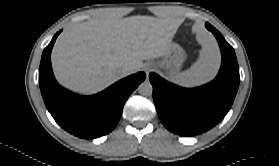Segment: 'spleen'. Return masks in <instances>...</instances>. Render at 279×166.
I'll use <instances>...</instances> for the list:
<instances>
[{
    "instance_id": "spleen-1",
    "label": "spleen",
    "mask_w": 279,
    "mask_h": 166,
    "mask_svg": "<svg viewBox=\"0 0 279 166\" xmlns=\"http://www.w3.org/2000/svg\"><path fill=\"white\" fill-rule=\"evenodd\" d=\"M198 39L202 45L198 60L190 69L175 76L176 82L182 86L192 87L206 83L214 78L219 69L221 57L213 38L203 34Z\"/></svg>"
}]
</instances>
